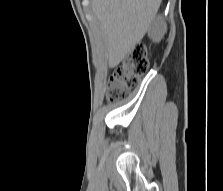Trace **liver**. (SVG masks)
<instances>
[{
	"label": "liver",
	"instance_id": "1",
	"mask_svg": "<svg viewBox=\"0 0 223 191\" xmlns=\"http://www.w3.org/2000/svg\"><path fill=\"white\" fill-rule=\"evenodd\" d=\"M105 36L109 67L117 66L141 41L161 0H92Z\"/></svg>",
	"mask_w": 223,
	"mask_h": 191
}]
</instances>
